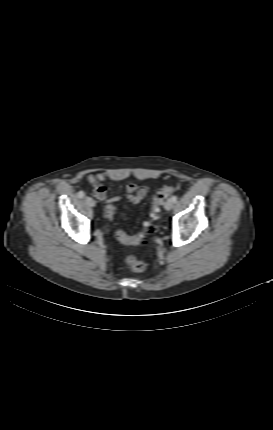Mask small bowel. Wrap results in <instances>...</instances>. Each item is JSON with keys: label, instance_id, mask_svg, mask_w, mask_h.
<instances>
[{"label": "small bowel", "instance_id": "c3829d8e", "mask_svg": "<svg viewBox=\"0 0 273 430\" xmlns=\"http://www.w3.org/2000/svg\"><path fill=\"white\" fill-rule=\"evenodd\" d=\"M87 178L88 181L93 184L96 198L99 201L107 204V206L113 205L122 197L126 198L132 204H138L147 196L149 192V188L147 186L130 183L125 186L123 191H120L119 195L110 196L108 194L107 188L103 184V182L106 180V174L104 172L89 174ZM120 240L122 242L129 243V239L126 236Z\"/></svg>", "mask_w": 273, "mask_h": 430}]
</instances>
